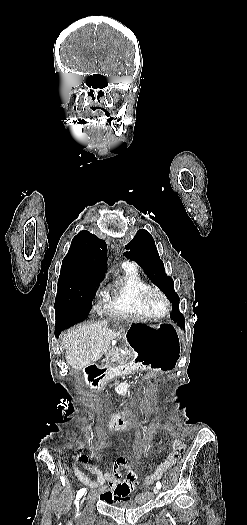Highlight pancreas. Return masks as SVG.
I'll return each instance as SVG.
<instances>
[{
    "instance_id": "obj_1",
    "label": "pancreas",
    "mask_w": 247,
    "mask_h": 525,
    "mask_svg": "<svg viewBox=\"0 0 247 525\" xmlns=\"http://www.w3.org/2000/svg\"><path fill=\"white\" fill-rule=\"evenodd\" d=\"M117 352H125V354H117L118 360L131 361L136 359V356H133V349H117ZM105 364H109L110 360H115V355H104Z\"/></svg>"
}]
</instances>
